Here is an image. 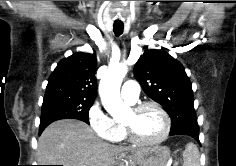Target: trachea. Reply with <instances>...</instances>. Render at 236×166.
<instances>
[{
  "label": "trachea",
  "mask_w": 236,
  "mask_h": 166,
  "mask_svg": "<svg viewBox=\"0 0 236 166\" xmlns=\"http://www.w3.org/2000/svg\"><path fill=\"white\" fill-rule=\"evenodd\" d=\"M123 29H124L123 23H114L113 24V31L117 37L123 33Z\"/></svg>",
  "instance_id": "trachea-1"
}]
</instances>
